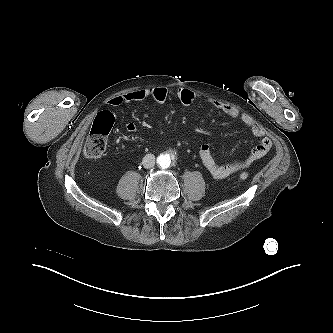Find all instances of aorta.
<instances>
[{
	"label": "aorta",
	"mask_w": 333,
	"mask_h": 333,
	"mask_svg": "<svg viewBox=\"0 0 333 333\" xmlns=\"http://www.w3.org/2000/svg\"><path fill=\"white\" fill-rule=\"evenodd\" d=\"M158 163L162 168H168L171 164V159L168 155H160L158 157Z\"/></svg>",
	"instance_id": "762f6f07"
}]
</instances>
